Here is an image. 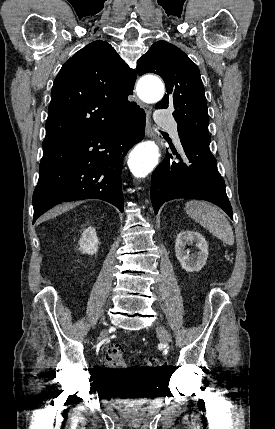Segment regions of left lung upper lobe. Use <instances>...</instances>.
Instances as JSON below:
<instances>
[{
    "instance_id": "obj_1",
    "label": "left lung upper lobe",
    "mask_w": 275,
    "mask_h": 429,
    "mask_svg": "<svg viewBox=\"0 0 275 429\" xmlns=\"http://www.w3.org/2000/svg\"><path fill=\"white\" fill-rule=\"evenodd\" d=\"M149 72L160 75L166 85L167 94L156 109H174L178 134H192L210 142L205 90L194 62L178 47L160 40L137 62L139 75Z\"/></svg>"
}]
</instances>
